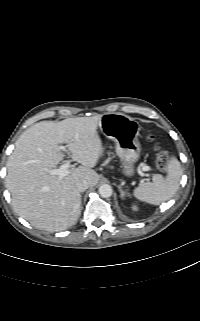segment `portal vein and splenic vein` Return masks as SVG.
Here are the masks:
<instances>
[{
  "mask_svg": "<svg viewBox=\"0 0 200 321\" xmlns=\"http://www.w3.org/2000/svg\"><path fill=\"white\" fill-rule=\"evenodd\" d=\"M60 149L65 151V146H61ZM69 167H70V161H67L66 163L61 165L60 168L49 170V173L52 175H57L60 178H62L70 173ZM150 169L151 168L147 165L142 166V171H149Z\"/></svg>",
  "mask_w": 200,
  "mask_h": 321,
  "instance_id": "1",
  "label": "portal vein and splenic vein"
}]
</instances>
